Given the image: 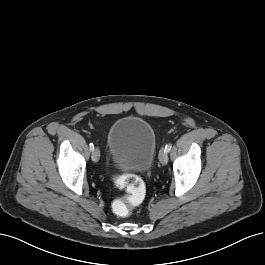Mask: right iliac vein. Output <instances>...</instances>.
<instances>
[{
	"label": "right iliac vein",
	"mask_w": 265,
	"mask_h": 265,
	"mask_svg": "<svg viewBox=\"0 0 265 265\" xmlns=\"http://www.w3.org/2000/svg\"><path fill=\"white\" fill-rule=\"evenodd\" d=\"M92 160L93 162H98L99 159H100V151L98 148H95L93 151H92Z\"/></svg>",
	"instance_id": "right-iliac-vein-1"
}]
</instances>
